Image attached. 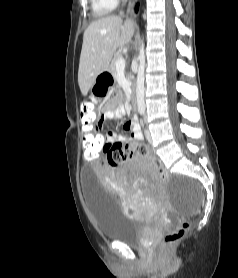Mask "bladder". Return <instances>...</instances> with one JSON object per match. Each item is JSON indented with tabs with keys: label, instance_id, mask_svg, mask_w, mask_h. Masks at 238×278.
<instances>
[{
	"label": "bladder",
	"instance_id": "bladder-1",
	"mask_svg": "<svg viewBox=\"0 0 238 278\" xmlns=\"http://www.w3.org/2000/svg\"><path fill=\"white\" fill-rule=\"evenodd\" d=\"M83 180H94L90 167L82 170ZM85 196L99 233L106 239L143 246L145 221L124 213L118 198L99 186V181H84Z\"/></svg>",
	"mask_w": 238,
	"mask_h": 278
}]
</instances>
